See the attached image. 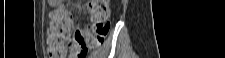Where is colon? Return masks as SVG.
I'll list each match as a JSON object with an SVG mask.
<instances>
[{
	"label": "colon",
	"mask_w": 225,
	"mask_h": 58,
	"mask_svg": "<svg viewBox=\"0 0 225 58\" xmlns=\"http://www.w3.org/2000/svg\"><path fill=\"white\" fill-rule=\"evenodd\" d=\"M88 15L91 24L88 29H81L73 24L68 8L61 6L52 12L48 38L52 58H65L69 50L73 57L85 58L104 43L110 29L108 2L89 1Z\"/></svg>",
	"instance_id": "obj_1"
}]
</instances>
